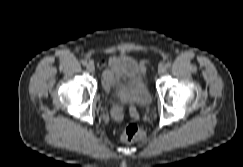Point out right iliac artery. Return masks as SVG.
I'll return each instance as SVG.
<instances>
[{
    "label": "right iliac artery",
    "instance_id": "right-iliac-artery-1",
    "mask_svg": "<svg viewBox=\"0 0 243 167\" xmlns=\"http://www.w3.org/2000/svg\"><path fill=\"white\" fill-rule=\"evenodd\" d=\"M82 64L86 66L88 64L87 60H82Z\"/></svg>",
    "mask_w": 243,
    "mask_h": 167
}]
</instances>
